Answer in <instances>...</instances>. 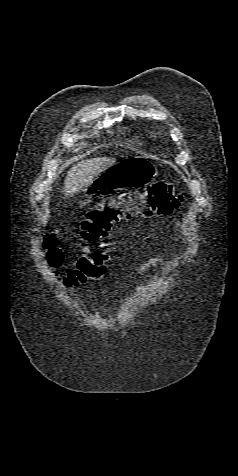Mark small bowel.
<instances>
[{
  "label": "small bowel",
  "instance_id": "1",
  "mask_svg": "<svg viewBox=\"0 0 238 476\" xmlns=\"http://www.w3.org/2000/svg\"><path fill=\"white\" fill-rule=\"evenodd\" d=\"M125 244L126 243L124 241H118L111 246V249L112 251H119L125 246ZM137 251L138 253L142 254L141 248L138 247ZM161 263H162V260L161 258H158V257H152L149 259L141 260V262L138 265L137 271L139 274H144L149 268L159 266ZM138 288H141V286L139 285Z\"/></svg>",
  "mask_w": 238,
  "mask_h": 476
}]
</instances>
